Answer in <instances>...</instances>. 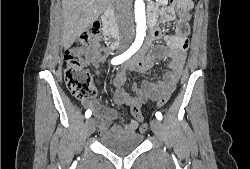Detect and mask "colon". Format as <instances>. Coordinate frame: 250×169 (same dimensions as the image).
<instances>
[{
	"instance_id": "1",
	"label": "colon",
	"mask_w": 250,
	"mask_h": 169,
	"mask_svg": "<svg viewBox=\"0 0 250 169\" xmlns=\"http://www.w3.org/2000/svg\"><path fill=\"white\" fill-rule=\"evenodd\" d=\"M179 6L183 8H190L191 2L188 0H179L177 2ZM178 29L180 33L185 34L188 31V26L186 21L180 20L178 23ZM101 32V27L98 22L94 23L91 28L82 34H77L75 38V43L82 46H91L93 41L99 36ZM64 81L70 90V92L79 99H88L94 95V87L92 83V78L90 73L84 69L78 57L74 54V49L68 47L64 54ZM171 95L169 92H164V97H160L158 100L159 107L160 104H166L168 102V97ZM132 115L136 117V120L143 121V114L140 112V103H131ZM147 130V125L142 123L140 126V131L145 132Z\"/></svg>"
}]
</instances>
